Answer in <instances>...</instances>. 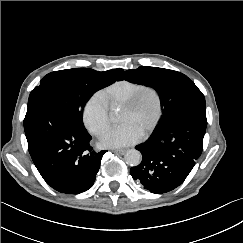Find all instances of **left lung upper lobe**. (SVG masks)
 <instances>
[{
  "mask_svg": "<svg viewBox=\"0 0 243 243\" xmlns=\"http://www.w3.org/2000/svg\"><path fill=\"white\" fill-rule=\"evenodd\" d=\"M153 87L159 94L163 114L154 129H161L179 110L196 102H205L204 95L186 75L169 69L141 66L127 70L118 78Z\"/></svg>",
  "mask_w": 243,
  "mask_h": 243,
  "instance_id": "obj_1",
  "label": "left lung upper lobe"
}]
</instances>
